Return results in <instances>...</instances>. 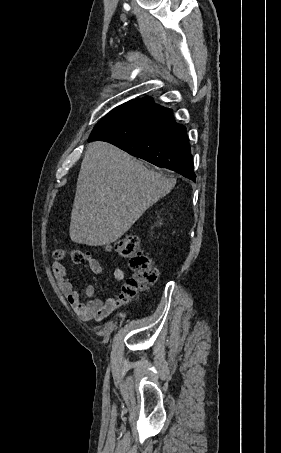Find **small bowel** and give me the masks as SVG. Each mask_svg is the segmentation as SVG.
Returning a JSON list of instances; mask_svg holds the SVG:
<instances>
[{
    "label": "small bowel",
    "mask_w": 281,
    "mask_h": 453,
    "mask_svg": "<svg viewBox=\"0 0 281 453\" xmlns=\"http://www.w3.org/2000/svg\"><path fill=\"white\" fill-rule=\"evenodd\" d=\"M66 251H63V255H57L52 261V268L55 276L57 277L58 284L62 292L67 296L69 302L73 304L81 318L85 321L101 320L107 317L115 310L123 300L124 288L119 293L110 297L106 301L99 299H93L95 292V285L89 284L86 287V295L88 301L86 303L81 302L80 293L77 288L73 286L71 281L67 277V270L63 264L65 259ZM88 268L96 276H103L104 270L98 259H88ZM126 273L121 267H117L114 270V280L122 284L125 281Z\"/></svg>",
    "instance_id": "small-bowel-1"
}]
</instances>
